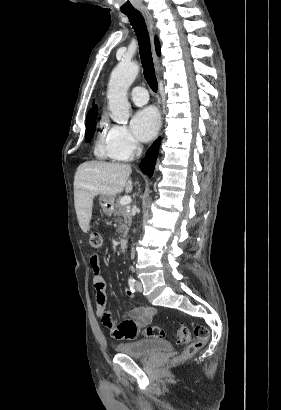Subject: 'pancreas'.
I'll return each mask as SVG.
<instances>
[{
	"mask_svg": "<svg viewBox=\"0 0 281 410\" xmlns=\"http://www.w3.org/2000/svg\"><path fill=\"white\" fill-rule=\"evenodd\" d=\"M119 199H117L114 204L113 214L117 217L116 221L118 223V233L126 235L129 230V226L131 225L132 216L126 206L120 204Z\"/></svg>",
	"mask_w": 281,
	"mask_h": 410,
	"instance_id": "pancreas-1",
	"label": "pancreas"
}]
</instances>
